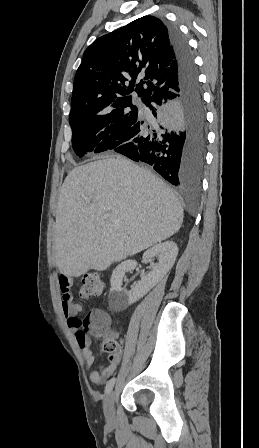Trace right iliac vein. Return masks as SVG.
I'll list each match as a JSON object with an SVG mask.
<instances>
[{
    "label": "right iliac vein",
    "instance_id": "obj_1",
    "mask_svg": "<svg viewBox=\"0 0 259 448\" xmlns=\"http://www.w3.org/2000/svg\"><path fill=\"white\" fill-rule=\"evenodd\" d=\"M114 399L115 393L114 391H110L104 400V415L108 423H114L115 421Z\"/></svg>",
    "mask_w": 259,
    "mask_h": 448
}]
</instances>
